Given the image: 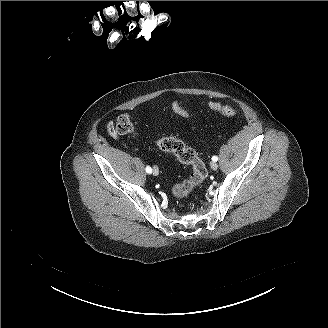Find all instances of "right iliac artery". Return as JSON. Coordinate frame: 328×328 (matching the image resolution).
<instances>
[{
    "label": "right iliac artery",
    "instance_id": "1",
    "mask_svg": "<svg viewBox=\"0 0 328 328\" xmlns=\"http://www.w3.org/2000/svg\"><path fill=\"white\" fill-rule=\"evenodd\" d=\"M146 172L150 174V173L152 172L151 167L147 166V167H146Z\"/></svg>",
    "mask_w": 328,
    "mask_h": 328
}]
</instances>
